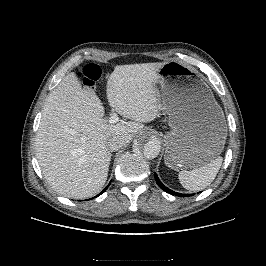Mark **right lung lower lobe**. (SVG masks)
<instances>
[{
  "label": "right lung lower lobe",
  "instance_id": "1",
  "mask_svg": "<svg viewBox=\"0 0 266 266\" xmlns=\"http://www.w3.org/2000/svg\"><path fill=\"white\" fill-rule=\"evenodd\" d=\"M108 186L100 194H98L97 196L101 195L108 188ZM97 196H95V197H97Z\"/></svg>",
  "mask_w": 266,
  "mask_h": 266
}]
</instances>
